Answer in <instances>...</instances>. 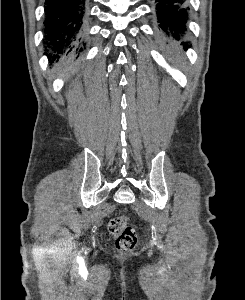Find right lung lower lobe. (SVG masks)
I'll use <instances>...</instances> for the list:
<instances>
[{"mask_svg": "<svg viewBox=\"0 0 245 300\" xmlns=\"http://www.w3.org/2000/svg\"><path fill=\"white\" fill-rule=\"evenodd\" d=\"M45 13V44L52 58L81 52L85 45L87 0H46Z\"/></svg>", "mask_w": 245, "mask_h": 300, "instance_id": "right-lung-lower-lobe-1", "label": "right lung lower lobe"}]
</instances>
